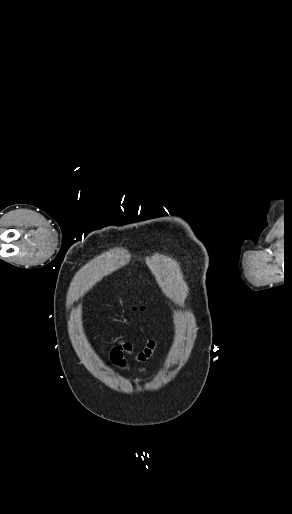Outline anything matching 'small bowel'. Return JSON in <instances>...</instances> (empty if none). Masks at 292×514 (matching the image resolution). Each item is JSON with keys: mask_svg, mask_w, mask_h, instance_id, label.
I'll return each mask as SVG.
<instances>
[{"mask_svg": "<svg viewBox=\"0 0 292 514\" xmlns=\"http://www.w3.org/2000/svg\"><path fill=\"white\" fill-rule=\"evenodd\" d=\"M156 348V341L150 339L147 341L144 349L135 351L132 344L128 341H120L117 345L111 348L110 358L113 365L124 369L127 366L126 356L132 358L136 362H146L149 360ZM139 372H145L144 368H139Z\"/></svg>", "mask_w": 292, "mask_h": 514, "instance_id": "c3829d8e", "label": "small bowel"}]
</instances>
